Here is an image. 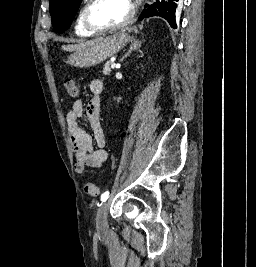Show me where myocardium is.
Masks as SVG:
<instances>
[{
  "mask_svg": "<svg viewBox=\"0 0 256 267\" xmlns=\"http://www.w3.org/2000/svg\"><path fill=\"white\" fill-rule=\"evenodd\" d=\"M98 1H101V0H91V4L84 11L83 23H84L85 27L88 30H90V31H92L94 33H97V34H104V33H109V32H114V31H117V30H121V29L125 28L126 26H128L129 24L133 23V21L135 19V8L131 4L126 3L131 8V16H130V19L127 22H122V23L109 25V26H99V25H97L90 18V10L92 9L93 5L95 3H97ZM115 1H121L122 2V0H115Z\"/></svg>",
  "mask_w": 256,
  "mask_h": 267,
  "instance_id": "1",
  "label": "myocardium"
}]
</instances>
